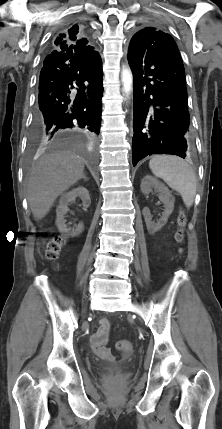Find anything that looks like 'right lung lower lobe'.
Segmentation results:
<instances>
[{"label": "right lung lower lobe", "instance_id": "1", "mask_svg": "<svg viewBox=\"0 0 222 429\" xmlns=\"http://www.w3.org/2000/svg\"><path fill=\"white\" fill-rule=\"evenodd\" d=\"M102 76L99 53L85 60L63 52L47 55L40 72L31 135L53 142L70 131L99 134Z\"/></svg>", "mask_w": 222, "mask_h": 429}]
</instances>
